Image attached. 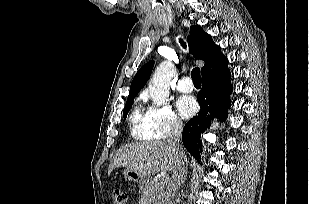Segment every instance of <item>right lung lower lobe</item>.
Returning a JSON list of instances; mask_svg holds the SVG:
<instances>
[{"instance_id": "1", "label": "right lung lower lobe", "mask_w": 309, "mask_h": 204, "mask_svg": "<svg viewBox=\"0 0 309 204\" xmlns=\"http://www.w3.org/2000/svg\"><path fill=\"white\" fill-rule=\"evenodd\" d=\"M230 77L227 65L202 77V90L198 96L201 109L197 116L187 122L182 133L184 147L198 161L202 148L201 134L210 127L212 118L218 117L223 122L227 116L233 90Z\"/></svg>"}]
</instances>
